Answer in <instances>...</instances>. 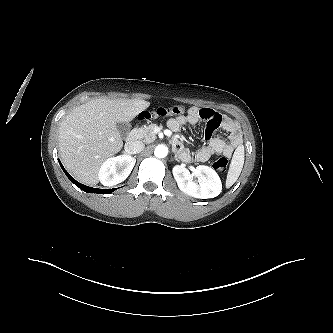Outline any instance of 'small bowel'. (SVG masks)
<instances>
[{"instance_id":"c3829d8e","label":"small bowel","mask_w":333,"mask_h":333,"mask_svg":"<svg viewBox=\"0 0 333 333\" xmlns=\"http://www.w3.org/2000/svg\"><path fill=\"white\" fill-rule=\"evenodd\" d=\"M199 121L205 122L204 140L206 145L195 153L196 160L205 162L212 156L219 154L231 157L242 144L243 137L238 123L208 107H192L186 115L169 119L168 127L172 131H177L186 123L196 125ZM219 128L224 129L229 134L228 141L221 137H213L214 132ZM174 146L182 158L186 160L191 158L190 151L185 149L179 140L174 141Z\"/></svg>"}]
</instances>
